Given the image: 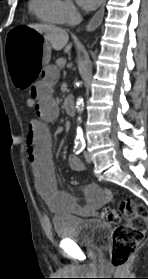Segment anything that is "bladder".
<instances>
[{"instance_id": "obj_1", "label": "bladder", "mask_w": 148, "mask_h": 279, "mask_svg": "<svg viewBox=\"0 0 148 279\" xmlns=\"http://www.w3.org/2000/svg\"><path fill=\"white\" fill-rule=\"evenodd\" d=\"M52 223L59 239L86 247H94L103 242L110 230L109 225L100 220L70 215L55 216Z\"/></svg>"}]
</instances>
